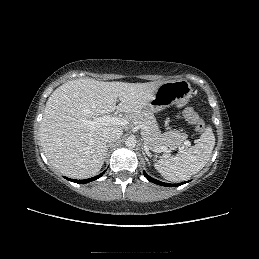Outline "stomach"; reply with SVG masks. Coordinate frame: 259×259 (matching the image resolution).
Wrapping results in <instances>:
<instances>
[{
	"label": "stomach",
	"mask_w": 259,
	"mask_h": 259,
	"mask_svg": "<svg viewBox=\"0 0 259 259\" xmlns=\"http://www.w3.org/2000/svg\"><path fill=\"white\" fill-rule=\"evenodd\" d=\"M192 96V88L187 80H175L162 83L154 96L143 108L145 112L156 113L170 106H184Z\"/></svg>",
	"instance_id": "obj_1"
}]
</instances>
